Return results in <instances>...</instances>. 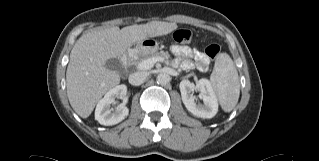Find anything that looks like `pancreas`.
I'll list each match as a JSON object with an SVG mask.
<instances>
[{"label": "pancreas", "mask_w": 319, "mask_h": 161, "mask_svg": "<svg viewBox=\"0 0 319 161\" xmlns=\"http://www.w3.org/2000/svg\"><path fill=\"white\" fill-rule=\"evenodd\" d=\"M152 57H161V58H164V59H169L170 58V54L168 52H163V51H160V52H154L152 54H150L149 56H145L144 58H139L137 60H133L131 61V64L132 65H138L140 62L148 59V58H152Z\"/></svg>", "instance_id": "cf45deb5"}]
</instances>
